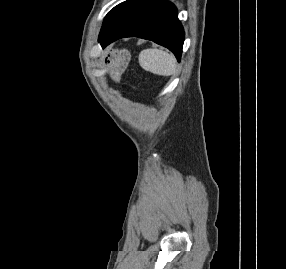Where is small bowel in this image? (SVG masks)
I'll use <instances>...</instances> for the list:
<instances>
[{
	"label": "small bowel",
	"mask_w": 286,
	"mask_h": 269,
	"mask_svg": "<svg viewBox=\"0 0 286 269\" xmlns=\"http://www.w3.org/2000/svg\"><path fill=\"white\" fill-rule=\"evenodd\" d=\"M120 73H121L120 69L115 68V67H113L112 70L110 71V75H111L114 79H118Z\"/></svg>",
	"instance_id": "obj_1"
}]
</instances>
